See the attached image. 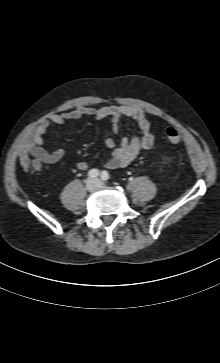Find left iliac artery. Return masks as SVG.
<instances>
[{
    "label": "left iliac artery",
    "instance_id": "obj_1",
    "mask_svg": "<svg viewBox=\"0 0 220 363\" xmlns=\"http://www.w3.org/2000/svg\"><path fill=\"white\" fill-rule=\"evenodd\" d=\"M101 179L103 181H107L109 179V173L107 171H102V173H101Z\"/></svg>",
    "mask_w": 220,
    "mask_h": 363
}]
</instances>
